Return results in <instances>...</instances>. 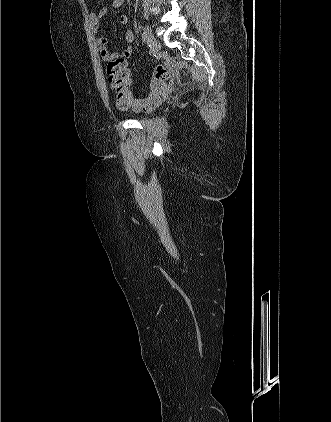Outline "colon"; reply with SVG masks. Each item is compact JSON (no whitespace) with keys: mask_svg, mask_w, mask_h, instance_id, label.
I'll return each instance as SVG.
<instances>
[{"mask_svg":"<svg viewBox=\"0 0 331 422\" xmlns=\"http://www.w3.org/2000/svg\"><path fill=\"white\" fill-rule=\"evenodd\" d=\"M107 78L111 89L116 94V105L120 110L147 111L164 101L170 79V70L162 64L155 67L150 95L143 100L135 99L130 91L129 71L123 60L116 59L108 62Z\"/></svg>","mask_w":331,"mask_h":422,"instance_id":"5ec220e1","label":"colon"}]
</instances>
